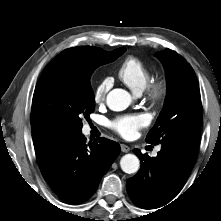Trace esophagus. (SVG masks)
<instances>
[{
  "mask_svg": "<svg viewBox=\"0 0 221 221\" xmlns=\"http://www.w3.org/2000/svg\"><path fill=\"white\" fill-rule=\"evenodd\" d=\"M121 151L124 153H127L130 151L129 146L125 145V144H121Z\"/></svg>",
  "mask_w": 221,
  "mask_h": 221,
  "instance_id": "1",
  "label": "esophagus"
}]
</instances>
